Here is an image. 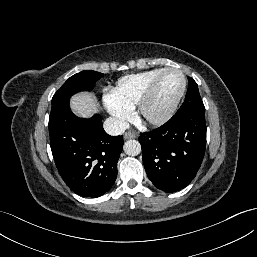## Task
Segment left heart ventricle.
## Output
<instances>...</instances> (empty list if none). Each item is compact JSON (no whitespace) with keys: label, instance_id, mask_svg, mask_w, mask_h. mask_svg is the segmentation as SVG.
I'll use <instances>...</instances> for the list:
<instances>
[{"label":"left heart ventricle","instance_id":"left-heart-ventricle-1","mask_svg":"<svg viewBox=\"0 0 257 257\" xmlns=\"http://www.w3.org/2000/svg\"><path fill=\"white\" fill-rule=\"evenodd\" d=\"M182 83V76L179 73H167L158 86L157 92L149 106L148 115L157 116L168 108L179 95Z\"/></svg>","mask_w":257,"mask_h":257}]
</instances>
